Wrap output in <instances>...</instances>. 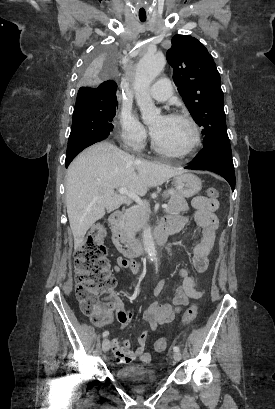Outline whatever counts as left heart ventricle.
Instances as JSON below:
<instances>
[{
    "label": "left heart ventricle",
    "mask_w": 275,
    "mask_h": 409,
    "mask_svg": "<svg viewBox=\"0 0 275 409\" xmlns=\"http://www.w3.org/2000/svg\"><path fill=\"white\" fill-rule=\"evenodd\" d=\"M150 125L156 141L167 149L181 150L189 144L192 138L189 125L181 120L157 116Z\"/></svg>",
    "instance_id": "left-heart-ventricle-1"
}]
</instances>
